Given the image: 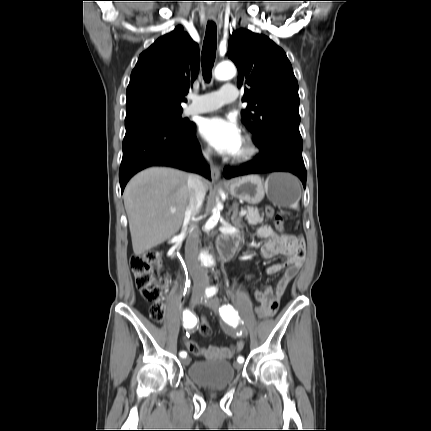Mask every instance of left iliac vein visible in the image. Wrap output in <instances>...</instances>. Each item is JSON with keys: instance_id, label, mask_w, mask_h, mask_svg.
I'll list each match as a JSON object with an SVG mask.
<instances>
[{"instance_id": "1", "label": "left iliac vein", "mask_w": 431, "mask_h": 431, "mask_svg": "<svg viewBox=\"0 0 431 431\" xmlns=\"http://www.w3.org/2000/svg\"><path fill=\"white\" fill-rule=\"evenodd\" d=\"M202 303L204 305H206L207 307L211 308L215 313H218V309H219V307L221 305L220 300L218 298H216V297L205 299V300H203ZM236 366L238 368L242 367V365L240 363H237Z\"/></svg>"}]
</instances>
